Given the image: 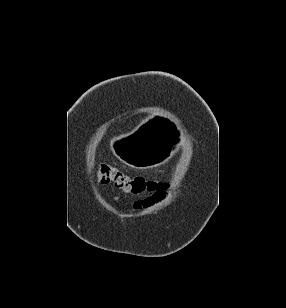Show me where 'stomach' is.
<instances>
[{"mask_svg":"<svg viewBox=\"0 0 286 308\" xmlns=\"http://www.w3.org/2000/svg\"><path fill=\"white\" fill-rule=\"evenodd\" d=\"M136 137H127V130H117L118 141L110 144L121 164L145 169L164 164L166 153H179L181 137H171L180 132L176 118L170 112H155L154 118H137Z\"/></svg>","mask_w":286,"mask_h":308,"instance_id":"obj_1","label":"stomach"}]
</instances>
